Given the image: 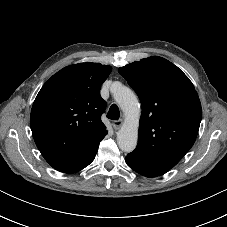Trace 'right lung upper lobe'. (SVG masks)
I'll use <instances>...</instances> for the list:
<instances>
[{
  "instance_id": "1",
  "label": "right lung upper lobe",
  "mask_w": 227,
  "mask_h": 227,
  "mask_svg": "<svg viewBox=\"0 0 227 227\" xmlns=\"http://www.w3.org/2000/svg\"><path fill=\"white\" fill-rule=\"evenodd\" d=\"M111 71L99 63L70 65L39 91L30 125L37 148L54 169L78 172L95 158L108 133L101 121L106 103L100 88Z\"/></svg>"
}]
</instances>
